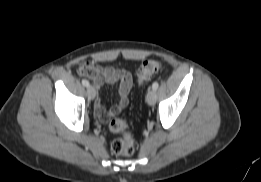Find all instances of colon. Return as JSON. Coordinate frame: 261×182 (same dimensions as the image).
Here are the masks:
<instances>
[{"label": "colon", "mask_w": 261, "mask_h": 182, "mask_svg": "<svg viewBox=\"0 0 261 182\" xmlns=\"http://www.w3.org/2000/svg\"><path fill=\"white\" fill-rule=\"evenodd\" d=\"M162 63L157 60H146L138 69L137 81L141 84L148 81L153 74L161 71ZM82 73L87 75L88 70L83 69ZM129 123L123 119L115 118L110 122L111 132L120 134L122 138L116 139L111 144V150L116 155L129 156L135 152V142L128 132Z\"/></svg>", "instance_id": "colon-1"}]
</instances>
